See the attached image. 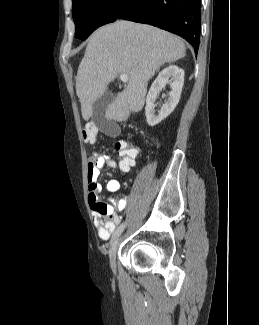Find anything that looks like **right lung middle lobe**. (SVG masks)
Returning a JSON list of instances; mask_svg holds the SVG:
<instances>
[{
  "label": "right lung middle lobe",
  "mask_w": 259,
  "mask_h": 325,
  "mask_svg": "<svg viewBox=\"0 0 259 325\" xmlns=\"http://www.w3.org/2000/svg\"><path fill=\"white\" fill-rule=\"evenodd\" d=\"M127 0H72L75 36L85 40L95 29L116 20Z\"/></svg>",
  "instance_id": "dd1d6c3e"
}]
</instances>
